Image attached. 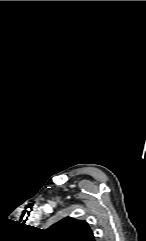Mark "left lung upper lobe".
<instances>
[{
  "instance_id": "5c2ea615",
  "label": "left lung upper lobe",
  "mask_w": 146,
  "mask_h": 241,
  "mask_svg": "<svg viewBox=\"0 0 146 241\" xmlns=\"http://www.w3.org/2000/svg\"><path fill=\"white\" fill-rule=\"evenodd\" d=\"M50 241H93L87 222L66 217L46 230Z\"/></svg>"
}]
</instances>
